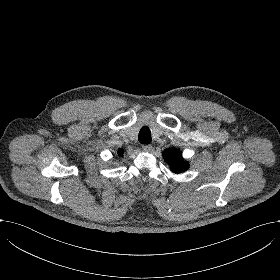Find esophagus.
Segmentation results:
<instances>
[{
	"label": "esophagus",
	"instance_id": "1",
	"mask_svg": "<svg viewBox=\"0 0 280 280\" xmlns=\"http://www.w3.org/2000/svg\"><path fill=\"white\" fill-rule=\"evenodd\" d=\"M142 149L145 151V152H151L152 151V145H142Z\"/></svg>",
	"mask_w": 280,
	"mask_h": 280
}]
</instances>
